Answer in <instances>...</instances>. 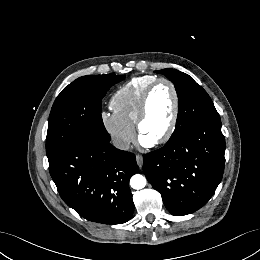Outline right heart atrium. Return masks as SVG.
<instances>
[{"instance_id": "d8ad5b80", "label": "right heart atrium", "mask_w": 260, "mask_h": 260, "mask_svg": "<svg viewBox=\"0 0 260 260\" xmlns=\"http://www.w3.org/2000/svg\"><path fill=\"white\" fill-rule=\"evenodd\" d=\"M100 120L113 144L120 150L128 149L136 137L134 125L125 121L114 111H102Z\"/></svg>"}]
</instances>
